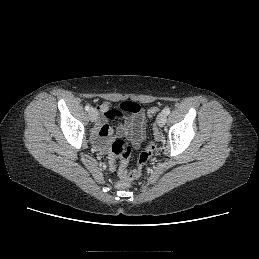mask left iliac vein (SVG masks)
<instances>
[{
    "instance_id": "4c4485c4",
    "label": "left iliac vein",
    "mask_w": 259,
    "mask_h": 259,
    "mask_svg": "<svg viewBox=\"0 0 259 259\" xmlns=\"http://www.w3.org/2000/svg\"><path fill=\"white\" fill-rule=\"evenodd\" d=\"M157 124L160 127H163L167 121V115L165 114V112H161L158 116H157Z\"/></svg>"
}]
</instances>
